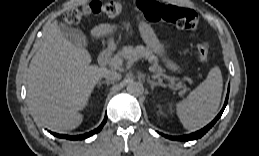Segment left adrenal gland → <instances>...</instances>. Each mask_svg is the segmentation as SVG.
<instances>
[{
    "label": "left adrenal gland",
    "instance_id": "left-adrenal-gland-1",
    "mask_svg": "<svg viewBox=\"0 0 259 156\" xmlns=\"http://www.w3.org/2000/svg\"><path fill=\"white\" fill-rule=\"evenodd\" d=\"M147 82L151 85V89L153 90L156 86H161V87H165V84H163L161 81L159 82H154L150 79V77H148Z\"/></svg>",
    "mask_w": 259,
    "mask_h": 156
}]
</instances>
